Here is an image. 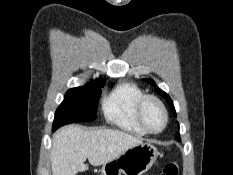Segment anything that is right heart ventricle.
Returning a JSON list of instances; mask_svg holds the SVG:
<instances>
[{
    "mask_svg": "<svg viewBox=\"0 0 233 175\" xmlns=\"http://www.w3.org/2000/svg\"><path fill=\"white\" fill-rule=\"evenodd\" d=\"M145 93L132 82H123L115 86L103 99L102 111L105 119L116 127L136 134L144 135L146 130L136 116V105Z\"/></svg>",
    "mask_w": 233,
    "mask_h": 175,
    "instance_id": "obj_1",
    "label": "right heart ventricle"
}]
</instances>
